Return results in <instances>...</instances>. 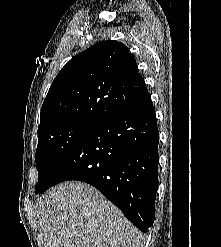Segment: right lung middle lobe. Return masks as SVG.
<instances>
[{
	"label": "right lung middle lobe",
	"instance_id": "right-lung-middle-lobe-1",
	"mask_svg": "<svg viewBox=\"0 0 221 247\" xmlns=\"http://www.w3.org/2000/svg\"><path fill=\"white\" fill-rule=\"evenodd\" d=\"M95 125L74 122L38 132L36 167L39 180L35 194L49 183L65 158Z\"/></svg>",
	"mask_w": 221,
	"mask_h": 247
}]
</instances>
